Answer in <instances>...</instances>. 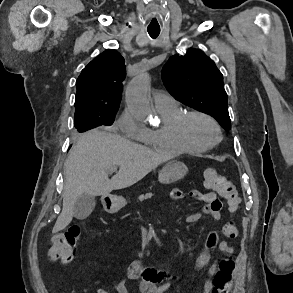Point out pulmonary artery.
Segmentation results:
<instances>
[{
	"mask_svg": "<svg viewBox=\"0 0 293 293\" xmlns=\"http://www.w3.org/2000/svg\"><path fill=\"white\" fill-rule=\"evenodd\" d=\"M153 100L156 108L171 106L176 103L175 99L164 91H157L153 95Z\"/></svg>",
	"mask_w": 293,
	"mask_h": 293,
	"instance_id": "obj_1",
	"label": "pulmonary artery"
}]
</instances>
